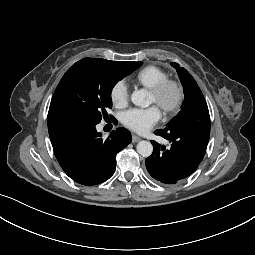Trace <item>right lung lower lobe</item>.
<instances>
[{
    "label": "right lung lower lobe",
    "mask_w": 255,
    "mask_h": 255,
    "mask_svg": "<svg viewBox=\"0 0 255 255\" xmlns=\"http://www.w3.org/2000/svg\"><path fill=\"white\" fill-rule=\"evenodd\" d=\"M98 123L75 117L48 118L49 136L60 166L70 178L86 186L108 180L116 169V154L131 142L125 128L103 139L96 131Z\"/></svg>",
    "instance_id": "1"
}]
</instances>
